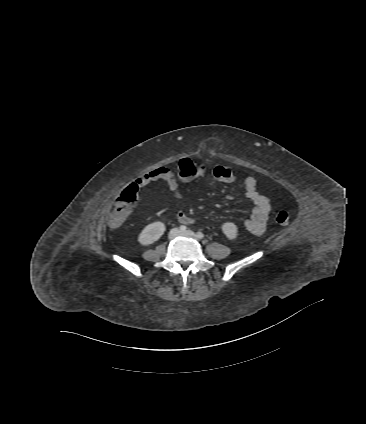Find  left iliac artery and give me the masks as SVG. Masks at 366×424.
Returning <instances> with one entry per match:
<instances>
[{
	"mask_svg": "<svg viewBox=\"0 0 366 424\" xmlns=\"http://www.w3.org/2000/svg\"><path fill=\"white\" fill-rule=\"evenodd\" d=\"M196 237H197L198 239H202V238L204 237V234H203L202 232H197V233H196Z\"/></svg>",
	"mask_w": 366,
	"mask_h": 424,
	"instance_id": "left-iliac-artery-1",
	"label": "left iliac artery"
}]
</instances>
